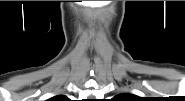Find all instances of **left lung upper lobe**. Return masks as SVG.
Wrapping results in <instances>:
<instances>
[{"instance_id": "left-lung-upper-lobe-1", "label": "left lung upper lobe", "mask_w": 185, "mask_h": 101, "mask_svg": "<svg viewBox=\"0 0 185 101\" xmlns=\"http://www.w3.org/2000/svg\"><path fill=\"white\" fill-rule=\"evenodd\" d=\"M119 101H126L128 99H131L133 97V95L130 94H121L117 96Z\"/></svg>"}]
</instances>
